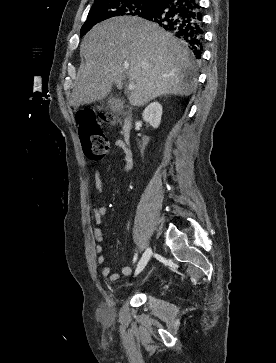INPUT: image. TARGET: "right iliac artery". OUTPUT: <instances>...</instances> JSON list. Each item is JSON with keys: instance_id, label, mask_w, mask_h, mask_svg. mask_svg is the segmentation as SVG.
Returning a JSON list of instances; mask_svg holds the SVG:
<instances>
[{"instance_id": "82829eb1", "label": "right iliac artery", "mask_w": 276, "mask_h": 363, "mask_svg": "<svg viewBox=\"0 0 276 363\" xmlns=\"http://www.w3.org/2000/svg\"><path fill=\"white\" fill-rule=\"evenodd\" d=\"M136 258H137V254H135L134 260H136ZM143 269H144V265L142 264L141 266L138 267L135 275L139 274Z\"/></svg>"}]
</instances>
